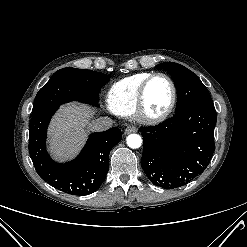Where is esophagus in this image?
<instances>
[{
  "instance_id": "esophagus-1",
  "label": "esophagus",
  "mask_w": 247,
  "mask_h": 247,
  "mask_svg": "<svg viewBox=\"0 0 247 247\" xmlns=\"http://www.w3.org/2000/svg\"><path fill=\"white\" fill-rule=\"evenodd\" d=\"M136 131H137V128L135 126H128L126 127L124 133L127 135L130 133L136 132Z\"/></svg>"
}]
</instances>
